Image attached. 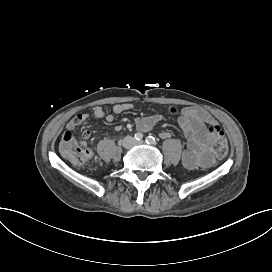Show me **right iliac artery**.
Listing matches in <instances>:
<instances>
[{
	"label": "right iliac artery",
	"instance_id": "1",
	"mask_svg": "<svg viewBox=\"0 0 272 272\" xmlns=\"http://www.w3.org/2000/svg\"><path fill=\"white\" fill-rule=\"evenodd\" d=\"M134 139L137 140V141H141L143 139V134L140 133V132H137L135 135H134Z\"/></svg>",
	"mask_w": 272,
	"mask_h": 272
}]
</instances>
